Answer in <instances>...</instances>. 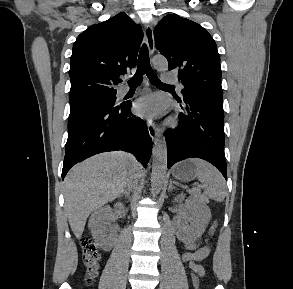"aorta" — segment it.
I'll return each mask as SVG.
<instances>
[{
    "mask_svg": "<svg viewBox=\"0 0 293 289\" xmlns=\"http://www.w3.org/2000/svg\"><path fill=\"white\" fill-rule=\"evenodd\" d=\"M153 65L158 70H165L168 66L167 60L162 57H155ZM153 163L151 180L153 184V195L155 196L160 191L167 172V146L165 138L161 132L157 135L153 146Z\"/></svg>",
    "mask_w": 293,
    "mask_h": 289,
    "instance_id": "1",
    "label": "aorta"
}]
</instances>
